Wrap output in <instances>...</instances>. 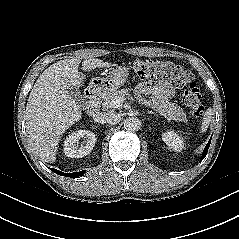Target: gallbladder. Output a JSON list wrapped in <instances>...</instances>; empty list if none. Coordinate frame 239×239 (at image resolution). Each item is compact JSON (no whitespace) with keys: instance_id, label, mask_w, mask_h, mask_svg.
<instances>
[{"instance_id":"bac80fb5","label":"gallbladder","mask_w":239,"mask_h":239,"mask_svg":"<svg viewBox=\"0 0 239 239\" xmlns=\"http://www.w3.org/2000/svg\"><path fill=\"white\" fill-rule=\"evenodd\" d=\"M69 93L77 103L80 105L84 103V98L77 89H71L69 90Z\"/></svg>"}]
</instances>
